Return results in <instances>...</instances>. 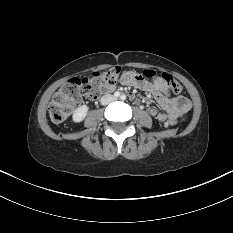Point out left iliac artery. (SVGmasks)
<instances>
[{"label":"left iliac artery","instance_id":"obj_1","mask_svg":"<svg viewBox=\"0 0 233 233\" xmlns=\"http://www.w3.org/2000/svg\"><path fill=\"white\" fill-rule=\"evenodd\" d=\"M120 98H121V100H125L126 99V95L122 94Z\"/></svg>","mask_w":233,"mask_h":233}]
</instances>
